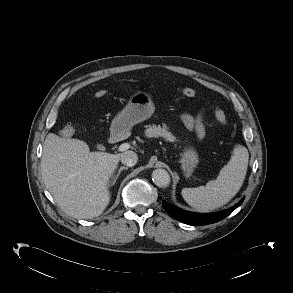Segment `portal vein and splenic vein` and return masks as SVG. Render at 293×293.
<instances>
[{"label":"portal vein and splenic vein","instance_id":"portal-vein-and-splenic-vein-1","mask_svg":"<svg viewBox=\"0 0 293 293\" xmlns=\"http://www.w3.org/2000/svg\"><path fill=\"white\" fill-rule=\"evenodd\" d=\"M130 148V144L129 143H123L119 146L118 150L120 152L126 151Z\"/></svg>","mask_w":293,"mask_h":293}]
</instances>
